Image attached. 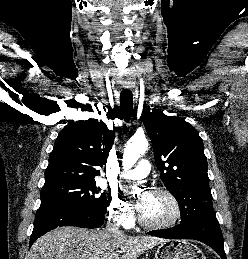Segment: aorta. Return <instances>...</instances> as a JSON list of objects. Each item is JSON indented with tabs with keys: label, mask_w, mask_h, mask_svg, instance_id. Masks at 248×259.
<instances>
[{
	"label": "aorta",
	"mask_w": 248,
	"mask_h": 259,
	"mask_svg": "<svg viewBox=\"0 0 248 259\" xmlns=\"http://www.w3.org/2000/svg\"><path fill=\"white\" fill-rule=\"evenodd\" d=\"M148 149V141L145 136L133 137L126 145L123 153V166L129 169L134 166L137 160Z\"/></svg>",
	"instance_id": "1"
}]
</instances>
